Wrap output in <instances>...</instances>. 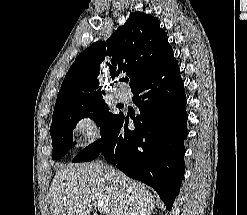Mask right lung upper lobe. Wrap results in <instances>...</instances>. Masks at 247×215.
<instances>
[{"label":"right lung upper lobe","mask_w":247,"mask_h":215,"mask_svg":"<svg viewBox=\"0 0 247 215\" xmlns=\"http://www.w3.org/2000/svg\"><path fill=\"white\" fill-rule=\"evenodd\" d=\"M171 49L167 35L156 18L143 12L131 14L106 42L93 43L76 58L62 82L54 113L101 96L96 91L99 84L97 77L105 56L111 58L108 65L112 79L126 72L132 89L159 65Z\"/></svg>","instance_id":"1"}]
</instances>
